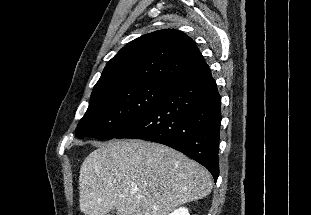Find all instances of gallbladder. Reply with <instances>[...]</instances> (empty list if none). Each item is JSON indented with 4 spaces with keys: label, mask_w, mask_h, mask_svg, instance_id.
<instances>
[{
    "label": "gallbladder",
    "mask_w": 311,
    "mask_h": 215,
    "mask_svg": "<svg viewBox=\"0 0 311 215\" xmlns=\"http://www.w3.org/2000/svg\"><path fill=\"white\" fill-rule=\"evenodd\" d=\"M107 215H120V214L117 210L112 209L111 211H109V213Z\"/></svg>",
    "instance_id": "bac80fb5"
}]
</instances>
